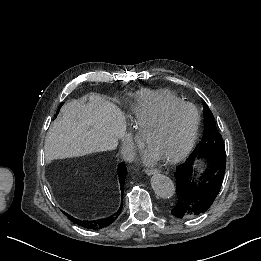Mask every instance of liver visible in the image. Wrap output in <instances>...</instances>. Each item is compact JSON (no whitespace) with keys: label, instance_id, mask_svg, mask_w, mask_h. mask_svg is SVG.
<instances>
[{"label":"liver","instance_id":"obj_1","mask_svg":"<svg viewBox=\"0 0 261 261\" xmlns=\"http://www.w3.org/2000/svg\"><path fill=\"white\" fill-rule=\"evenodd\" d=\"M125 113L91 93L64 104L48 131L45 152L66 157L113 150L126 133Z\"/></svg>","mask_w":261,"mask_h":261}]
</instances>
